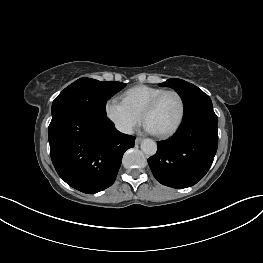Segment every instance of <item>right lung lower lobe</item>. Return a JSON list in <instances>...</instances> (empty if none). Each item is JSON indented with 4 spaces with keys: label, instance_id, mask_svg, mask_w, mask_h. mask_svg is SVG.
Returning a JSON list of instances; mask_svg holds the SVG:
<instances>
[{
    "label": "right lung lower lobe",
    "instance_id": "obj_1",
    "mask_svg": "<svg viewBox=\"0 0 263 263\" xmlns=\"http://www.w3.org/2000/svg\"><path fill=\"white\" fill-rule=\"evenodd\" d=\"M50 154L58 175L71 187L94 194L111 186L124 152L135 137L120 133L106 115L64 111L48 128Z\"/></svg>",
    "mask_w": 263,
    "mask_h": 263
}]
</instances>
